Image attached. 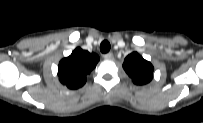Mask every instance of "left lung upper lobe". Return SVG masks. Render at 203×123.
I'll use <instances>...</instances> for the list:
<instances>
[{
  "instance_id": "left-lung-upper-lobe-1",
  "label": "left lung upper lobe",
  "mask_w": 203,
  "mask_h": 123,
  "mask_svg": "<svg viewBox=\"0 0 203 123\" xmlns=\"http://www.w3.org/2000/svg\"><path fill=\"white\" fill-rule=\"evenodd\" d=\"M123 68L137 85L150 82L153 78V66L143 59L137 52L129 54L124 61Z\"/></svg>"
}]
</instances>
